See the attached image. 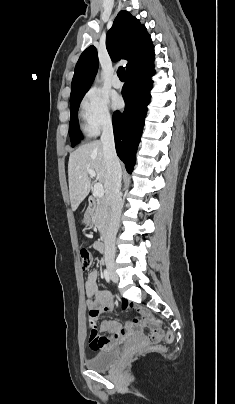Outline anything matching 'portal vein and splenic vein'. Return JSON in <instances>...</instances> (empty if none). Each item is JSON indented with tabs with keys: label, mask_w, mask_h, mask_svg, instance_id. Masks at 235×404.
I'll list each match as a JSON object with an SVG mask.
<instances>
[{
	"label": "portal vein and splenic vein",
	"mask_w": 235,
	"mask_h": 404,
	"mask_svg": "<svg viewBox=\"0 0 235 404\" xmlns=\"http://www.w3.org/2000/svg\"><path fill=\"white\" fill-rule=\"evenodd\" d=\"M87 172L90 175V177H96V173L94 170L88 169ZM93 191L96 197H103L104 195V189L101 183H95Z\"/></svg>",
	"instance_id": "1"
}]
</instances>
